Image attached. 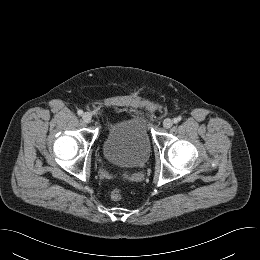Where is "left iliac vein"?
<instances>
[{
	"mask_svg": "<svg viewBox=\"0 0 260 260\" xmlns=\"http://www.w3.org/2000/svg\"><path fill=\"white\" fill-rule=\"evenodd\" d=\"M172 125H173V121L169 118H167L163 121V127L166 128V129L171 128Z\"/></svg>",
	"mask_w": 260,
	"mask_h": 260,
	"instance_id": "obj_1",
	"label": "left iliac vein"
}]
</instances>
